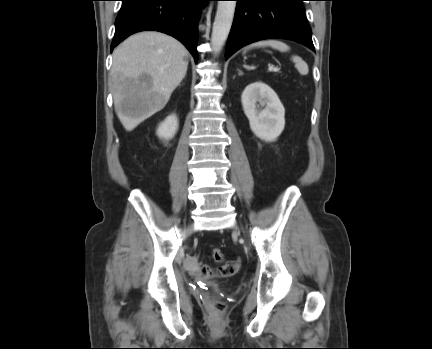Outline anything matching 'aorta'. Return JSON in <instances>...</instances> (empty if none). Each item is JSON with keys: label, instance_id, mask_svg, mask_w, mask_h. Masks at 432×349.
<instances>
[{"label": "aorta", "instance_id": "1", "mask_svg": "<svg viewBox=\"0 0 432 349\" xmlns=\"http://www.w3.org/2000/svg\"><path fill=\"white\" fill-rule=\"evenodd\" d=\"M236 8V1H218L213 23L211 45L215 54L219 53L229 35Z\"/></svg>", "mask_w": 432, "mask_h": 349}]
</instances>
